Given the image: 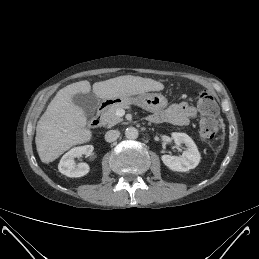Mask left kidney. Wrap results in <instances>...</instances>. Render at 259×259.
Returning <instances> with one entry per match:
<instances>
[{
  "mask_svg": "<svg viewBox=\"0 0 259 259\" xmlns=\"http://www.w3.org/2000/svg\"><path fill=\"white\" fill-rule=\"evenodd\" d=\"M172 138L175 144H184L186 150L183 151L182 156L163 155L161 157L163 163L171 170L178 172H186L194 169L200 162L201 156L198 148L192 138L185 133H172Z\"/></svg>",
  "mask_w": 259,
  "mask_h": 259,
  "instance_id": "5707ae66",
  "label": "left kidney"
}]
</instances>
